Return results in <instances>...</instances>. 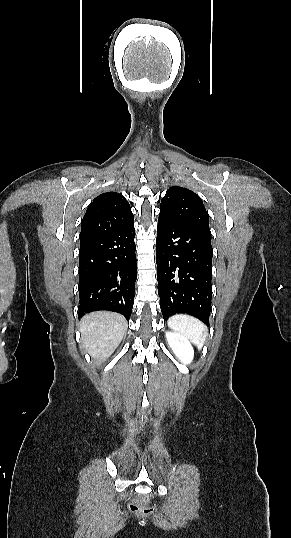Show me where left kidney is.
Returning <instances> with one entry per match:
<instances>
[{
    "label": "left kidney",
    "mask_w": 291,
    "mask_h": 538,
    "mask_svg": "<svg viewBox=\"0 0 291 538\" xmlns=\"http://www.w3.org/2000/svg\"><path fill=\"white\" fill-rule=\"evenodd\" d=\"M166 339L175 356L184 365L190 364L194 357V350L190 341L178 332H166Z\"/></svg>",
    "instance_id": "5707ae66"
}]
</instances>
